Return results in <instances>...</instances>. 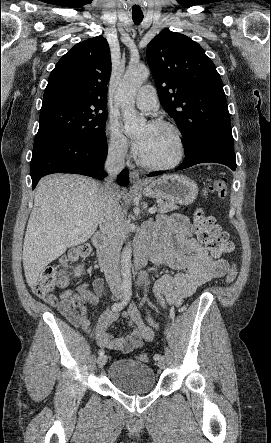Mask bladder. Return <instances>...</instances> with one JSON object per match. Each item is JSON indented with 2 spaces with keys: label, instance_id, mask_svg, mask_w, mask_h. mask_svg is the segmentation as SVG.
<instances>
[{
  "label": "bladder",
  "instance_id": "bladder-1",
  "mask_svg": "<svg viewBox=\"0 0 271 443\" xmlns=\"http://www.w3.org/2000/svg\"><path fill=\"white\" fill-rule=\"evenodd\" d=\"M108 377L116 388L131 395L148 393L156 384L155 373L149 365L129 358L112 362Z\"/></svg>",
  "mask_w": 271,
  "mask_h": 443
}]
</instances>
